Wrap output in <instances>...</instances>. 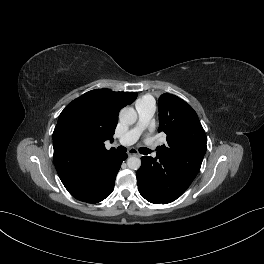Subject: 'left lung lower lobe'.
Instances as JSON below:
<instances>
[{
	"label": "left lung lower lobe",
	"mask_w": 264,
	"mask_h": 264,
	"mask_svg": "<svg viewBox=\"0 0 264 264\" xmlns=\"http://www.w3.org/2000/svg\"><path fill=\"white\" fill-rule=\"evenodd\" d=\"M183 155L155 158L143 156L138 169L137 183L140 194L149 202L167 204L180 197L196 177L202 160L192 163L184 161Z\"/></svg>",
	"instance_id": "1"
}]
</instances>
